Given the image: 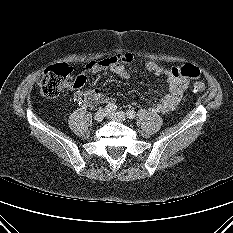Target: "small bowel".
<instances>
[{
	"instance_id": "c3829d8e",
	"label": "small bowel",
	"mask_w": 233,
	"mask_h": 233,
	"mask_svg": "<svg viewBox=\"0 0 233 233\" xmlns=\"http://www.w3.org/2000/svg\"><path fill=\"white\" fill-rule=\"evenodd\" d=\"M134 57L130 53H119L99 61L89 63L77 78L81 79V83L74 82L73 88L80 89L84 86L86 79L93 77L102 72L110 71L124 80L131 77L127 66L131 64ZM145 70L158 77H164L168 92L158 100L151 104L154 111L166 113L174 110L179 104L184 92L188 88L189 79L176 76L174 71L177 67L165 68L155 61H148L145 64ZM82 100L87 105H96L99 103L113 104L114 98L110 95L102 93L97 88L85 89L81 94Z\"/></svg>"
}]
</instances>
